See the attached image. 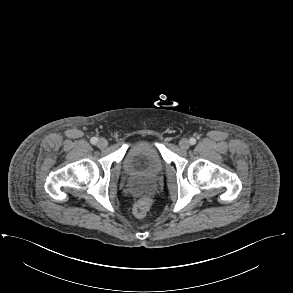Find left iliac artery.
Masks as SVG:
<instances>
[{
  "label": "left iliac artery",
  "instance_id": "left-iliac-artery-1",
  "mask_svg": "<svg viewBox=\"0 0 293 293\" xmlns=\"http://www.w3.org/2000/svg\"><path fill=\"white\" fill-rule=\"evenodd\" d=\"M190 144H191V145L196 144V139H195V138H190Z\"/></svg>",
  "mask_w": 293,
  "mask_h": 293
}]
</instances>
